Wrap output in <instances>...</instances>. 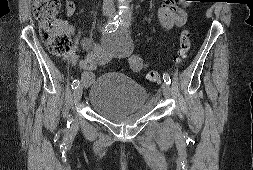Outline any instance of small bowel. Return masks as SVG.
Returning <instances> with one entry per match:
<instances>
[{
  "mask_svg": "<svg viewBox=\"0 0 253 170\" xmlns=\"http://www.w3.org/2000/svg\"><path fill=\"white\" fill-rule=\"evenodd\" d=\"M184 2L185 0H164L162 6L158 10V17L161 25L164 28L170 29L184 25L187 18L186 11L181 7V4ZM64 8L68 17H71L76 11L75 3L70 0L65 1ZM60 27L67 34L75 33L74 25L67 21H61ZM80 44L81 47L87 51L86 56L80 64V68L84 70V73L81 77V82L83 85L87 86L93 80L92 71L95 70L99 65L107 63L116 55V53L113 50L106 48L104 45L94 42L90 38L81 39ZM75 61V54L67 58V62L71 65H74ZM127 62L129 68L133 72H141L146 68L145 61L136 54L128 55Z\"/></svg>",
  "mask_w": 253,
  "mask_h": 170,
  "instance_id": "1",
  "label": "small bowel"
}]
</instances>
